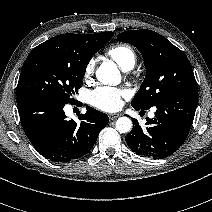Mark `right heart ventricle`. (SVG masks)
I'll return each mask as SVG.
<instances>
[{
    "mask_svg": "<svg viewBox=\"0 0 212 212\" xmlns=\"http://www.w3.org/2000/svg\"><path fill=\"white\" fill-rule=\"evenodd\" d=\"M106 56L115 61L125 71L132 69L136 63L134 50L124 44L111 46L107 49Z\"/></svg>",
    "mask_w": 212,
    "mask_h": 212,
    "instance_id": "1",
    "label": "right heart ventricle"
}]
</instances>
